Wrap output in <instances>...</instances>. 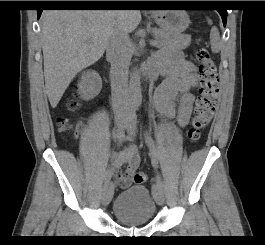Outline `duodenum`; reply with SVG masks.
Instances as JSON below:
<instances>
[{
    "instance_id": "410a0bca",
    "label": "duodenum",
    "mask_w": 265,
    "mask_h": 245,
    "mask_svg": "<svg viewBox=\"0 0 265 245\" xmlns=\"http://www.w3.org/2000/svg\"><path fill=\"white\" fill-rule=\"evenodd\" d=\"M142 72H143L145 81L149 82L154 78L156 70L154 68H152L150 65L146 64L142 67ZM112 85L114 88H116L114 81L112 82Z\"/></svg>"
}]
</instances>
